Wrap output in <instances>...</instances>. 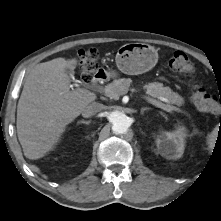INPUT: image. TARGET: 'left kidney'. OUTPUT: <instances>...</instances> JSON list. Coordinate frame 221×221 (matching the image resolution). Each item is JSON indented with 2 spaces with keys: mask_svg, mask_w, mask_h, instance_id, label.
<instances>
[{
  "mask_svg": "<svg viewBox=\"0 0 221 221\" xmlns=\"http://www.w3.org/2000/svg\"><path fill=\"white\" fill-rule=\"evenodd\" d=\"M187 136L183 126H176L172 132H162L156 139V145L161 156L167 159H178L184 153V140Z\"/></svg>",
  "mask_w": 221,
  "mask_h": 221,
  "instance_id": "left-kidney-1",
  "label": "left kidney"
}]
</instances>
